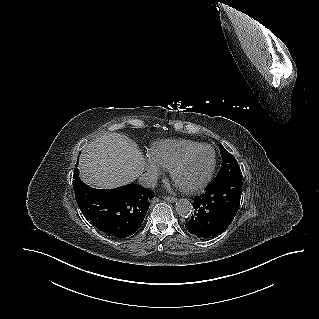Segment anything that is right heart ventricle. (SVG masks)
Wrapping results in <instances>:
<instances>
[{
  "label": "right heart ventricle",
  "instance_id": "obj_1",
  "mask_svg": "<svg viewBox=\"0 0 319 319\" xmlns=\"http://www.w3.org/2000/svg\"><path fill=\"white\" fill-rule=\"evenodd\" d=\"M200 143L187 139H167L155 142L149 151L150 158L161 168L170 170L188 150Z\"/></svg>",
  "mask_w": 319,
  "mask_h": 319
}]
</instances>
